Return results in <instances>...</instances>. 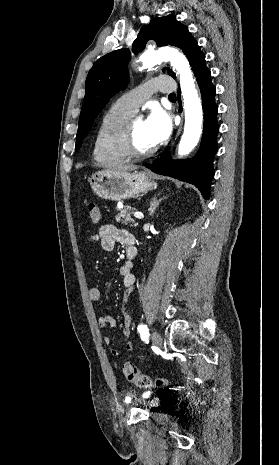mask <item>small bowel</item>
<instances>
[{"label": "small bowel", "mask_w": 279, "mask_h": 465, "mask_svg": "<svg viewBox=\"0 0 279 465\" xmlns=\"http://www.w3.org/2000/svg\"><path fill=\"white\" fill-rule=\"evenodd\" d=\"M93 241H99L102 248L105 251H113L117 243H121L126 246V251L133 249L135 254H137V249L135 246V238L128 231L118 228L114 225H103L100 229L91 236ZM136 256V255H135ZM119 273L123 277L124 284L127 288L132 289L135 282V275L133 274V259L124 261L119 268ZM89 298L98 302L102 297V290L98 286L91 287L88 291ZM122 314L124 317V326L122 333L126 338L131 336V318L126 308L122 307ZM98 325L101 328H113L116 325V320L111 315H103L98 318ZM104 342L108 345L111 343V337L106 335L104 337ZM126 351H131L133 349V344L131 341H127L124 346ZM110 352L113 356H118L120 352L111 348Z\"/></svg>", "instance_id": "small-bowel-1"}]
</instances>
